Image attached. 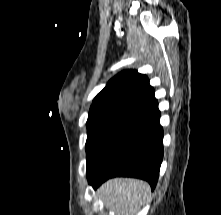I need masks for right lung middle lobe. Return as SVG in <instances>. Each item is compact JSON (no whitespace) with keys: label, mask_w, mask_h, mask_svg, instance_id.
<instances>
[{"label":"right lung middle lobe","mask_w":221,"mask_h":215,"mask_svg":"<svg viewBox=\"0 0 221 215\" xmlns=\"http://www.w3.org/2000/svg\"><path fill=\"white\" fill-rule=\"evenodd\" d=\"M137 110L120 104H92L87 120V169L120 126Z\"/></svg>","instance_id":"dd1d6c3e"}]
</instances>
